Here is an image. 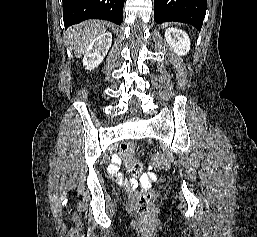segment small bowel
Returning <instances> with one entry per match:
<instances>
[{
	"label": "small bowel",
	"instance_id": "1",
	"mask_svg": "<svg viewBox=\"0 0 257 237\" xmlns=\"http://www.w3.org/2000/svg\"><path fill=\"white\" fill-rule=\"evenodd\" d=\"M119 167H120V160L117 157H115L114 160L112 161L111 165L109 166V172L115 176V178L118 182L125 183V182H127V177L123 173L119 172ZM154 178H155V175L150 172L148 174L142 175L138 179V182L141 185L146 186Z\"/></svg>",
	"mask_w": 257,
	"mask_h": 237
}]
</instances>
